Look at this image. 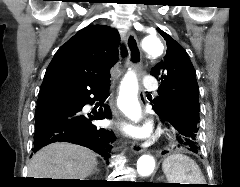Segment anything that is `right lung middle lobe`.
I'll return each instance as SVG.
<instances>
[{
  "mask_svg": "<svg viewBox=\"0 0 240 187\" xmlns=\"http://www.w3.org/2000/svg\"><path fill=\"white\" fill-rule=\"evenodd\" d=\"M74 99H64V100L71 102V101H74Z\"/></svg>",
  "mask_w": 240,
  "mask_h": 187,
  "instance_id": "1",
  "label": "right lung middle lobe"
}]
</instances>
